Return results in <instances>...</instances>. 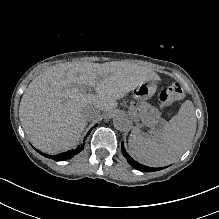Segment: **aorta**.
Listing matches in <instances>:
<instances>
[{
  "label": "aorta",
  "mask_w": 219,
  "mask_h": 219,
  "mask_svg": "<svg viewBox=\"0 0 219 219\" xmlns=\"http://www.w3.org/2000/svg\"><path fill=\"white\" fill-rule=\"evenodd\" d=\"M114 127L121 132L127 131L131 127V121L124 112H117L113 116Z\"/></svg>",
  "instance_id": "1"
}]
</instances>
